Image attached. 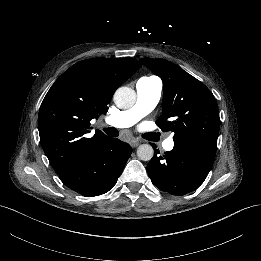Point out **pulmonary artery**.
<instances>
[{
	"label": "pulmonary artery",
	"instance_id": "pulmonary-artery-1",
	"mask_svg": "<svg viewBox=\"0 0 261 261\" xmlns=\"http://www.w3.org/2000/svg\"><path fill=\"white\" fill-rule=\"evenodd\" d=\"M137 100L135 105L127 110L115 115L108 116L106 123L116 128H126L132 126L145 115L149 114L159 103L163 85L160 80H139L136 84ZM162 147L171 150L174 147L172 138H164Z\"/></svg>",
	"mask_w": 261,
	"mask_h": 261
}]
</instances>
